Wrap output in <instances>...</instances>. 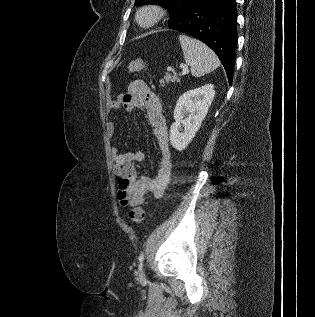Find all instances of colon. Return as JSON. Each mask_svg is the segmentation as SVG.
Listing matches in <instances>:
<instances>
[{
    "instance_id": "1",
    "label": "colon",
    "mask_w": 315,
    "mask_h": 317,
    "mask_svg": "<svg viewBox=\"0 0 315 317\" xmlns=\"http://www.w3.org/2000/svg\"><path fill=\"white\" fill-rule=\"evenodd\" d=\"M146 68V64L141 59L132 60L128 65V71L131 73H137L143 71ZM130 218L133 222L139 224L145 219V211L142 206H135L130 211Z\"/></svg>"
}]
</instances>
